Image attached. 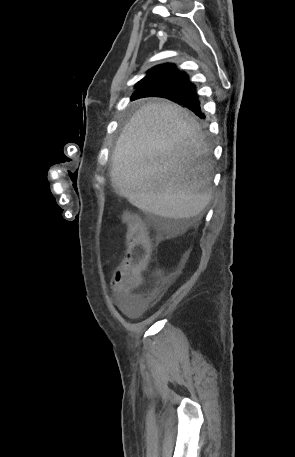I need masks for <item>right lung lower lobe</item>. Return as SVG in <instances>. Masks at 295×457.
I'll return each instance as SVG.
<instances>
[{
	"label": "right lung lower lobe",
	"instance_id": "obj_1",
	"mask_svg": "<svg viewBox=\"0 0 295 457\" xmlns=\"http://www.w3.org/2000/svg\"><path fill=\"white\" fill-rule=\"evenodd\" d=\"M164 89H173L176 92V94L169 97V99L185 105L199 117L205 118L200 109L195 86L189 81L188 75L184 72H181L179 76L169 82L136 90L132 95V100L141 97L157 96L156 91Z\"/></svg>",
	"mask_w": 295,
	"mask_h": 457
}]
</instances>
